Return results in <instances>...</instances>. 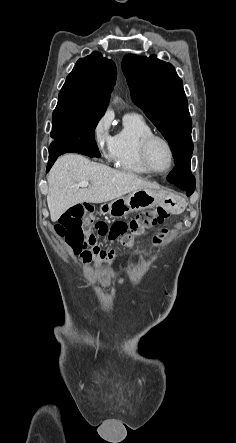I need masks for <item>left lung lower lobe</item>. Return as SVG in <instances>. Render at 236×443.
<instances>
[{"mask_svg": "<svg viewBox=\"0 0 236 443\" xmlns=\"http://www.w3.org/2000/svg\"><path fill=\"white\" fill-rule=\"evenodd\" d=\"M190 160L183 161L176 164L170 174L167 176V180L186 191V195L190 196L195 190V177L190 171Z\"/></svg>", "mask_w": 236, "mask_h": 443, "instance_id": "left-lung-lower-lobe-1", "label": "left lung lower lobe"}]
</instances>
